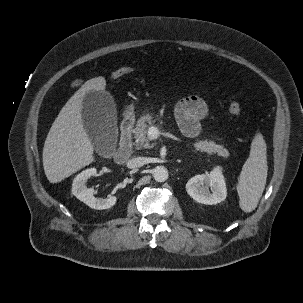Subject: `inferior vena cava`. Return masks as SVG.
Here are the masks:
<instances>
[{"mask_svg": "<svg viewBox=\"0 0 303 303\" xmlns=\"http://www.w3.org/2000/svg\"><path fill=\"white\" fill-rule=\"evenodd\" d=\"M145 164V159L143 157L132 158L127 162V167L129 169H137Z\"/></svg>", "mask_w": 303, "mask_h": 303, "instance_id": "obj_1", "label": "inferior vena cava"}]
</instances>
